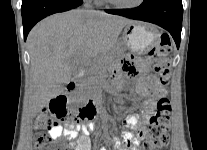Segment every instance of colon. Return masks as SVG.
I'll list each match as a JSON object with an SVG mask.
<instances>
[{
	"label": "colon",
	"instance_id": "colon-1",
	"mask_svg": "<svg viewBox=\"0 0 207 150\" xmlns=\"http://www.w3.org/2000/svg\"><path fill=\"white\" fill-rule=\"evenodd\" d=\"M171 41L167 35H162L158 44L149 52L154 61V69L160 83L167 85L170 78L171 66L167 56L171 52ZM49 108L42 110L35 118V150H69L67 146L52 138L49 132L65 121L70 114L66 110L68 100L57 98L49 100ZM94 112L80 110L75 114L81 119H91ZM171 105L168 99L161 98L156 104L154 114L150 118V128L142 133L143 147L139 150H153L165 147L169 143ZM129 146V144L127 143Z\"/></svg>",
	"mask_w": 207,
	"mask_h": 150
}]
</instances>
